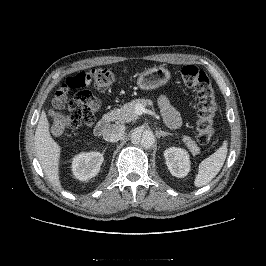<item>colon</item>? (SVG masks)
I'll return each instance as SVG.
<instances>
[{
	"label": "colon",
	"instance_id": "1",
	"mask_svg": "<svg viewBox=\"0 0 266 266\" xmlns=\"http://www.w3.org/2000/svg\"><path fill=\"white\" fill-rule=\"evenodd\" d=\"M178 76L183 85L194 89L199 95L197 139L200 144L208 145L215 136L217 101L213 83L204 71L193 65L183 66L178 71ZM115 81L116 74L109 68H96L68 77L56 93L53 104L57 109L67 106L69 110L67 114L55 112L52 133L61 135L69 127L79 129L91 126L100 108V100L87 89V85L93 82L98 89L107 90Z\"/></svg>",
	"mask_w": 266,
	"mask_h": 266
}]
</instances>
